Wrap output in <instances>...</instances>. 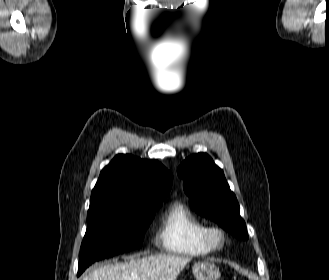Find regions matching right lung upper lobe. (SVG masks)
<instances>
[{
    "label": "right lung upper lobe",
    "instance_id": "right-lung-upper-lobe-1",
    "mask_svg": "<svg viewBox=\"0 0 329 280\" xmlns=\"http://www.w3.org/2000/svg\"><path fill=\"white\" fill-rule=\"evenodd\" d=\"M173 176L156 160L119 154L100 173L92 190L91 213L96 205L110 201L146 202L169 194Z\"/></svg>",
    "mask_w": 329,
    "mask_h": 280
}]
</instances>
